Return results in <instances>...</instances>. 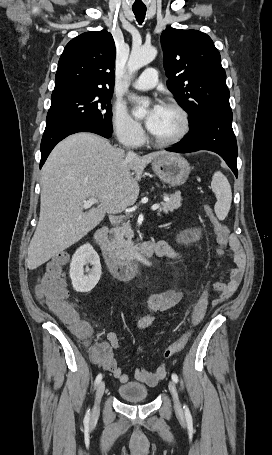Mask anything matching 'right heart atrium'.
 <instances>
[{"label": "right heart atrium", "instance_id": "right-heart-atrium-1", "mask_svg": "<svg viewBox=\"0 0 272 455\" xmlns=\"http://www.w3.org/2000/svg\"><path fill=\"white\" fill-rule=\"evenodd\" d=\"M111 125L115 136L123 145L137 147L144 141L142 126L120 104L112 109Z\"/></svg>", "mask_w": 272, "mask_h": 455}]
</instances>
